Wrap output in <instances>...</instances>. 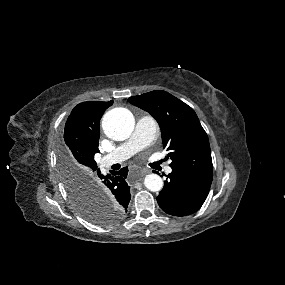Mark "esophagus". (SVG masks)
<instances>
[{"mask_svg":"<svg viewBox=\"0 0 285 285\" xmlns=\"http://www.w3.org/2000/svg\"><path fill=\"white\" fill-rule=\"evenodd\" d=\"M140 172L142 175H146V174L150 173L151 171L147 168H142Z\"/></svg>","mask_w":285,"mask_h":285,"instance_id":"1","label":"esophagus"}]
</instances>
